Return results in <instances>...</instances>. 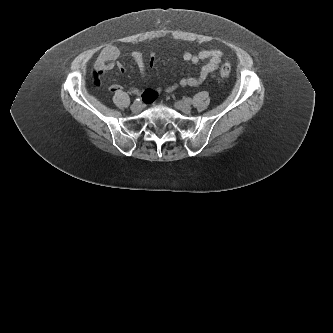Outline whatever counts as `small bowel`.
I'll list each match as a JSON object with an SVG mask.
<instances>
[{
	"label": "small bowel",
	"mask_w": 333,
	"mask_h": 333,
	"mask_svg": "<svg viewBox=\"0 0 333 333\" xmlns=\"http://www.w3.org/2000/svg\"><path fill=\"white\" fill-rule=\"evenodd\" d=\"M119 56L120 49L114 45H109L101 51L99 58L94 65V70L92 71L93 78L91 79V84L94 87H99L102 84L101 77L104 72L114 67H117L119 71L124 72V68L118 63ZM131 57L134 63L138 66L141 74L144 76L146 74V62L144 56L140 52H132ZM182 58L186 63L197 64L201 61H205L206 63L199 69L197 76L188 75L180 79L178 82L168 86L165 89L167 93L173 92L178 87H195L200 85L209 74L218 69L222 59V52L219 49H207L198 54L185 52ZM153 63L154 58L151 57L150 64L153 65ZM120 88L119 85L113 84L110 86V91L117 92ZM130 91L133 94H141L137 88H131ZM160 91V88L147 89L141 94V99L146 104H151L153 101H157L160 98Z\"/></svg>",
	"instance_id": "small-bowel-1"
}]
</instances>
